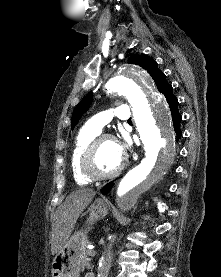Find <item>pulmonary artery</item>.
<instances>
[{"mask_svg": "<svg viewBox=\"0 0 221 277\" xmlns=\"http://www.w3.org/2000/svg\"><path fill=\"white\" fill-rule=\"evenodd\" d=\"M120 120H129L131 112L128 105H120L109 110L102 111L87 121L85 127L100 133L102 128L108 124L113 118Z\"/></svg>", "mask_w": 221, "mask_h": 277, "instance_id": "pulmonary-artery-1", "label": "pulmonary artery"}]
</instances>
